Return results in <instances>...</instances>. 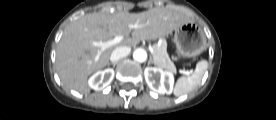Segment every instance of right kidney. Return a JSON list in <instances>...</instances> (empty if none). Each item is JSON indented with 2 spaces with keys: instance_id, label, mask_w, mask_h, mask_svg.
Masks as SVG:
<instances>
[{
  "instance_id": "right-kidney-1",
  "label": "right kidney",
  "mask_w": 276,
  "mask_h": 120,
  "mask_svg": "<svg viewBox=\"0 0 276 120\" xmlns=\"http://www.w3.org/2000/svg\"><path fill=\"white\" fill-rule=\"evenodd\" d=\"M113 78L114 70L107 68L103 71H97L94 73L90 77L88 84L92 89L100 91L107 87L112 82Z\"/></svg>"
}]
</instances>
